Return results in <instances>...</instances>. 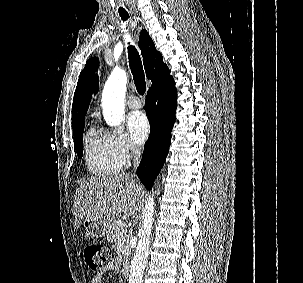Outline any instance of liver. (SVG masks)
Returning a JSON list of instances; mask_svg holds the SVG:
<instances>
[{
  "mask_svg": "<svg viewBox=\"0 0 303 283\" xmlns=\"http://www.w3.org/2000/svg\"><path fill=\"white\" fill-rule=\"evenodd\" d=\"M143 193L140 182L126 173L89 178L76 190L73 205L75 226L78 228L84 219L114 220L120 213L132 216Z\"/></svg>",
  "mask_w": 303,
  "mask_h": 283,
  "instance_id": "6515ba94",
  "label": "liver"
}]
</instances>
